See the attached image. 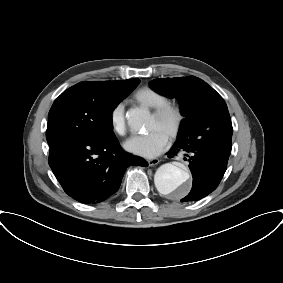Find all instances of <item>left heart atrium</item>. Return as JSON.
<instances>
[{
	"instance_id": "obj_1",
	"label": "left heart atrium",
	"mask_w": 283,
	"mask_h": 283,
	"mask_svg": "<svg viewBox=\"0 0 283 283\" xmlns=\"http://www.w3.org/2000/svg\"><path fill=\"white\" fill-rule=\"evenodd\" d=\"M168 136L159 129H152L146 134L135 135L125 143V149L137 156L152 158L157 156L165 148Z\"/></svg>"
}]
</instances>
